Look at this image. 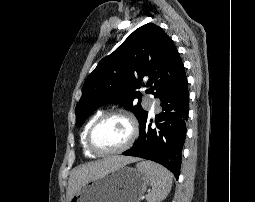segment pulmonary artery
I'll return each instance as SVG.
<instances>
[{"instance_id":"obj_1","label":"pulmonary artery","mask_w":255,"mask_h":202,"mask_svg":"<svg viewBox=\"0 0 255 202\" xmlns=\"http://www.w3.org/2000/svg\"><path fill=\"white\" fill-rule=\"evenodd\" d=\"M146 106H147L151 111H154V112L159 111V105H158V103L155 102V101L149 100V101L146 103Z\"/></svg>"}]
</instances>
